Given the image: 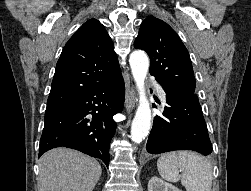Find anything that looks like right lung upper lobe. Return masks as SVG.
Segmentation results:
<instances>
[{"label":"right lung upper lobe","mask_w":251,"mask_h":191,"mask_svg":"<svg viewBox=\"0 0 251 191\" xmlns=\"http://www.w3.org/2000/svg\"><path fill=\"white\" fill-rule=\"evenodd\" d=\"M120 73L111 38L99 21L90 19L62 50L46 110L62 106L110 82Z\"/></svg>","instance_id":"right-lung-upper-lobe-1"}]
</instances>
